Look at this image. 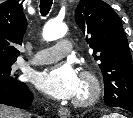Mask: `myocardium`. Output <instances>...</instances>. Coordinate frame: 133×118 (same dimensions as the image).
Wrapping results in <instances>:
<instances>
[{"mask_svg": "<svg viewBox=\"0 0 133 118\" xmlns=\"http://www.w3.org/2000/svg\"><path fill=\"white\" fill-rule=\"evenodd\" d=\"M81 81L86 88V93L82 97H76L73 103L78 107H89L98 101L102 92L101 84L97 76L90 70L82 71Z\"/></svg>", "mask_w": 133, "mask_h": 118, "instance_id": "obj_1", "label": "myocardium"}]
</instances>
